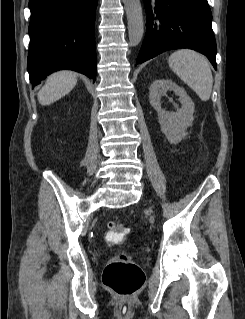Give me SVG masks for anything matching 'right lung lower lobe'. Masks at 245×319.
<instances>
[{
	"label": "right lung lower lobe",
	"mask_w": 245,
	"mask_h": 319,
	"mask_svg": "<svg viewBox=\"0 0 245 319\" xmlns=\"http://www.w3.org/2000/svg\"><path fill=\"white\" fill-rule=\"evenodd\" d=\"M97 0H30L28 66L33 86L71 69L95 81L94 21Z\"/></svg>",
	"instance_id": "right-lung-lower-lobe-1"
}]
</instances>
